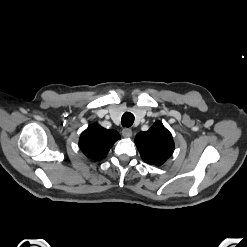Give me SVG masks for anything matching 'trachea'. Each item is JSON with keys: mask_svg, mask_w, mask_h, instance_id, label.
<instances>
[{"mask_svg": "<svg viewBox=\"0 0 247 247\" xmlns=\"http://www.w3.org/2000/svg\"><path fill=\"white\" fill-rule=\"evenodd\" d=\"M134 122V115L130 112H125L122 116V126L124 127H130Z\"/></svg>", "mask_w": 247, "mask_h": 247, "instance_id": "trachea-1", "label": "trachea"}]
</instances>
